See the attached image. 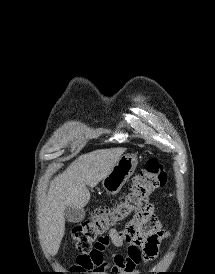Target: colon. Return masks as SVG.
I'll return each mask as SVG.
<instances>
[{"instance_id":"obj_1","label":"colon","mask_w":215,"mask_h":274,"mask_svg":"<svg viewBox=\"0 0 215 274\" xmlns=\"http://www.w3.org/2000/svg\"><path fill=\"white\" fill-rule=\"evenodd\" d=\"M168 175L164 165L157 159H149L144 168L134 177L129 191L113 206L95 210L90 218L72 230L76 248L82 253L90 252L109 229L130 217L138 216L154 190L164 187Z\"/></svg>"}]
</instances>
